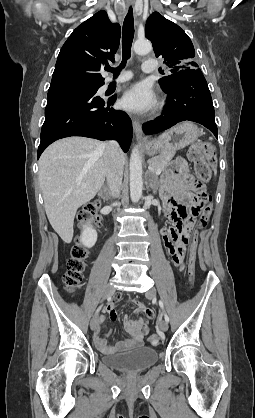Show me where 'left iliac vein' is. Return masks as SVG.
<instances>
[{
	"label": "left iliac vein",
	"instance_id": "4c4485c4",
	"mask_svg": "<svg viewBox=\"0 0 255 418\" xmlns=\"http://www.w3.org/2000/svg\"><path fill=\"white\" fill-rule=\"evenodd\" d=\"M145 295H146L147 298L153 299L156 296V290H155V288H151L150 290H148L145 293ZM168 328H169L168 322H166L165 320H163V321L160 322V329L162 331H167Z\"/></svg>",
	"mask_w": 255,
	"mask_h": 418
}]
</instances>
